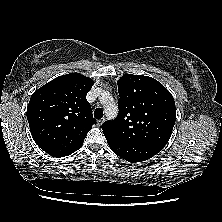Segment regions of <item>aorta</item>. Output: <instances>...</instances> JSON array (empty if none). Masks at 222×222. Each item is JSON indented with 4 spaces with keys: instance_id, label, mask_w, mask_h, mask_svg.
I'll return each mask as SVG.
<instances>
[{
    "instance_id": "obj_1",
    "label": "aorta",
    "mask_w": 222,
    "mask_h": 222,
    "mask_svg": "<svg viewBox=\"0 0 222 222\" xmlns=\"http://www.w3.org/2000/svg\"><path fill=\"white\" fill-rule=\"evenodd\" d=\"M100 101L104 104V110L108 118H114L118 113V107L114 103L112 96L109 92L103 91L100 96Z\"/></svg>"
}]
</instances>
